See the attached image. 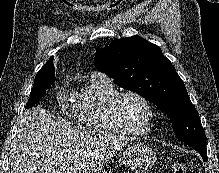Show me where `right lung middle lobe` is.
<instances>
[{
    "instance_id": "right-lung-middle-lobe-1",
    "label": "right lung middle lobe",
    "mask_w": 219,
    "mask_h": 173,
    "mask_svg": "<svg viewBox=\"0 0 219 173\" xmlns=\"http://www.w3.org/2000/svg\"><path fill=\"white\" fill-rule=\"evenodd\" d=\"M55 82V72H39L34 81L30 98L26 104V108H30L37 104L44 96L45 90Z\"/></svg>"
}]
</instances>
